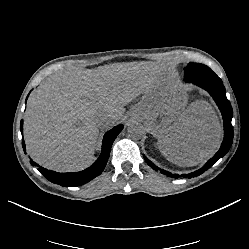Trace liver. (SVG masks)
I'll return each instance as SVG.
<instances>
[{"mask_svg": "<svg viewBox=\"0 0 249 249\" xmlns=\"http://www.w3.org/2000/svg\"><path fill=\"white\" fill-rule=\"evenodd\" d=\"M172 81L162 69L113 64L54 74L34 90L24 114V141L31 158L57 172L82 170L93 162L99 137L96 119L120 120L125 106L141 121L158 146L169 147L167 159L194 166L210 158L221 144L223 127L213 107L187 98L172 100Z\"/></svg>", "mask_w": 249, "mask_h": 249, "instance_id": "1", "label": "liver"}]
</instances>
